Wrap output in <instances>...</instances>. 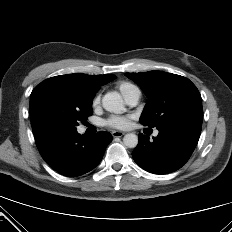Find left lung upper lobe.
Masks as SVG:
<instances>
[{
    "mask_svg": "<svg viewBox=\"0 0 232 232\" xmlns=\"http://www.w3.org/2000/svg\"><path fill=\"white\" fill-rule=\"evenodd\" d=\"M149 98L140 122L144 126L163 124L188 118L202 119L201 95L187 78L163 71L126 73Z\"/></svg>",
    "mask_w": 232,
    "mask_h": 232,
    "instance_id": "1",
    "label": "left lung upper lobe"
}]
</instances>
